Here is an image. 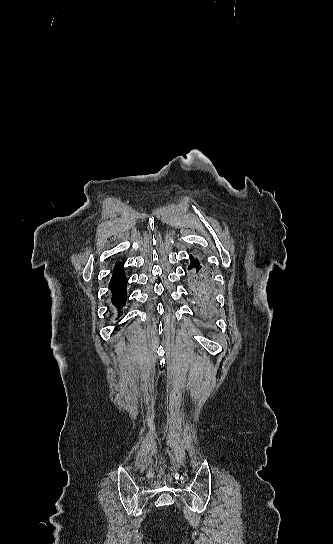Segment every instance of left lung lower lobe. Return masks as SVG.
Returning <instances> with one entry per match:
<instances>
[{"label":"left lung lower lobe","mask_w":333,"mask_h":544,"mask_svg":"<svg viewBox=\"0 0 333 544\" xmlns=\"http://www.w3.org/2000/svg\"><path fill=\"white\" fill-rule=\"evenodd\" d=\"M190 288L195 302L199 305L202 319L210 324L214 310L212 275L207 267L190 255Z\"/></svg>","instance_id":"0a47b994"}]
</instances>
